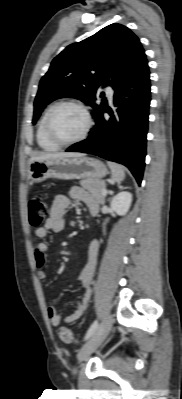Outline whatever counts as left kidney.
<instances>
[{"label": "left kidney", "instance_id": "left-kidney-1", "mask_svg": "<svg viewBox=\"0 0 182 399\" xmlns=\"http://www.w3.org/2000/svg\"><path fill=\"white\" fill-rule=\"evenodd\" d=\"M131 203H132V194L123 191L113 197L110 206L115 213H117L120 216H123L130 209Z\"/></svg>", "mask_w": 182, "mask_h": 399}]
</instances>
